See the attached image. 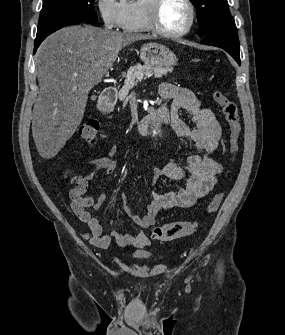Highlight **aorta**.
<instances>
[{"mask_svg": "<svg viewBox=\"0 0 285 335\" xmlns=\"http://www.w3.org/2000/svg\"><path fill=\"white\" fill-rule=\"evenodd\" d=\"M144 134H167V127H144Z\"/></svg>", "mask_w": 285, "mask_h": 335, "instance_id": "1", "label": "aorta"}]
</instances>
